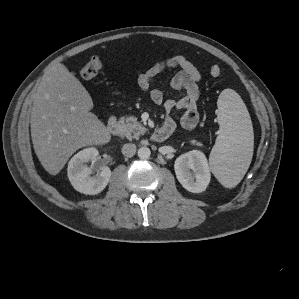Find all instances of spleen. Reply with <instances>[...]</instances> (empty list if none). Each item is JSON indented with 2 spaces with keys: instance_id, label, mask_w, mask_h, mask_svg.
Returning <instances> with one entry per match:
<instances>
[{
  "instance_id": "obj_1",
  "label": "spleen",
  "mask_w": 299,
  "mask_h": 299,
  "mask_svg": "<svg viewBox=\"0 0 299 299\" xmlns=\"http://www.w3.org/2000/svg\"><path fill=\"white\" fill-rule=\"evenodd\" d=\"M220 132L209 156L210 168L226 188L236 187L246 174L253 155V127L241 97L225 89L217 101Z\"/></svg>"
}]
</instances>
